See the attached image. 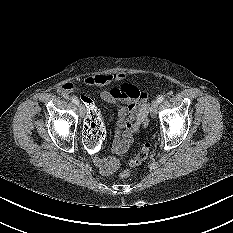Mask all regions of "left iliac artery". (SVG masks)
I'll return each instance as SVG.
<instances>
[{
  "label": "left iliac artery",
  "mask_w": 233,
  "mask_h": 233,
  "mask_svg": "<svg viewBox=\"0 0 233 233\" xmlns=\"http://www.w3.org/2000/svg\"><path fill=\"white\" fill-rule=\"evenodd\" d=\"M163 100H164V97H163V96H159V97L157 98L158 104L161 103Z\"/></svg>",
  "instance_id": "obj_1"
}]
</instances>
